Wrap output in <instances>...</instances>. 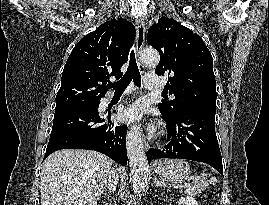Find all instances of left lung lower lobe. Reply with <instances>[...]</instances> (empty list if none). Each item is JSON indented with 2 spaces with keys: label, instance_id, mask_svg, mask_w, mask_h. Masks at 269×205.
<instances>
[{
  "label": "left lung lower lobe",
  "instance_id": "1",
  "mask_svg": "<svg viewBox=\"0 0 269 205\" xmlns=\"http://www.w3.org/2000/svg\"><path fill=\"white\" fill-rule=\"evenodd\" d=\"M162 117L167 123L169 144L162 150L151 149L148 163L159 158H178L204 162L223 175L222 157L215 132L216 109L196 107Z\"/></svg>",
  "mask_w": 269,
  "mask_h": 205
}]
</instances>
